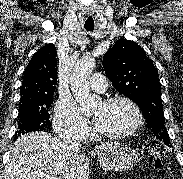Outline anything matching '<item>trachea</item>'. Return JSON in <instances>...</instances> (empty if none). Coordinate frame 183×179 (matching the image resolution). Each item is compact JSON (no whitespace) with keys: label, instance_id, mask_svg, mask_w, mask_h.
Returning <instances> with one entry per match:
<instances>
[{"label":"trachea","instance_id":"1","mask_svg":"<svg viewBox=\"0 0 183 179\" xmlns=\"http://www.w3.org/2000/svg\"><path fill=\"white\" fill-rule=\"evenodd\" d=\"M84 27H85V29L88 30V31H93V30H94V20H93L92 17H89V18L86 20V22H85V24H84Z\"/></svg>","mask_w":183,"mask_h":179}]
</instances>
